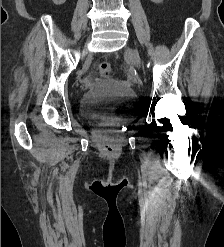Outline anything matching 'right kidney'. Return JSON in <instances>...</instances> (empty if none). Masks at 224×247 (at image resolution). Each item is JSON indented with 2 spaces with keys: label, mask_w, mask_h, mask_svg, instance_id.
<instances>
[{
  "label": "right kidney",
  "mask_w": 224,
  "mask_h": 247,
  "mask_svg": "<svg viewBox=\"0 0 224 247\" xmlns=\"http://www.w3.org/2000/svg\"><path fill=\"white\" fill-rule=\"evenodd\" d=\"M52 2H54V4H56V6H61V4H64V2H66V0H52Z\"/></svg>",
  "instance_id": "right-kidney-1"
}]
</instances>
